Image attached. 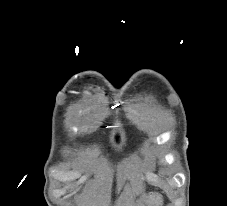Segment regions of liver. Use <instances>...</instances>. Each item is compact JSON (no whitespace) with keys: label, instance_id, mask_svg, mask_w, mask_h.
<instances>
[{"label":"liver","instance_id":"1","mask_svg":"<svg viewBox=\"0 0 227 206\" xmlns=\"http://www.w3.org/2000/svg\"><path fill=\"white\" fill-rule=\"evenodd\" d=\"M149 201L153 204H159L161 202L160 196H156L155 194H150L149 195Z\"/></svg>","mask_w":227,"mask_h":206}]
</instances>
